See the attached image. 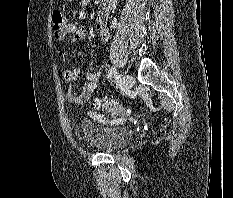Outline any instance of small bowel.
<instances>
[{
  "label": "small bowel",
  "mask_w": 233,
  "mask_h": 198,
  "mask_svg": "<svg viewBox=\"0 0 233 198\" xmlns=\"http://www.w3.org/2000/svg\"><path fill=\"white\" fill-rule=\"evenodd\" d=\"M90 0H82V5L85 6ZM107 10H102L98 14L96 18V31L99 34V37L103 44H106L109 39V32L107 28ZM80 17H84V12L80 13ZM72 37L73 42L82 41L86 36L85 27L77 24H66L64 28L60 32H55L54 37L57 41L64 40L67 36ZM80 75L79 68H67L64 69L61 73L62 78L67 83H72L78 79ZM101 73L100 71L96 72H88L87 74V82L84 84L81 93L76 94L71 89H69L67 93V100L74 105H85L95 92L98 82L100 79ZM96 119L101 122H105L106 119L101 115H94Z\"/></svg>",
  "instance_id": "obj_1"
}]
</instances>
